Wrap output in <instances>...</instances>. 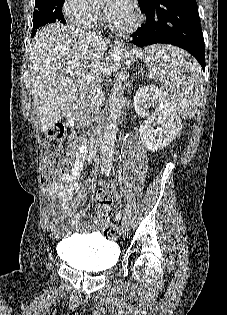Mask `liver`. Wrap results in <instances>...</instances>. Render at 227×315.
<instances>
[{
  "label": "liver",
  "mask_w": 227,
  "mask_h": 315,
  "mask_svg": "<svg viewBox=\"0 0 227 315\" xmlns=\"http://www.w3.org/2000/svg\"><path fill=\"white\" fill-rule=\"evenodd\" d=\"M120 60L119 51L109 50L100 36L60 23L39 29L30 52V81L41 131L46 132L74 107L90 77L116 70Z\"/></svg>",
  "instance_id": "6515ba94"
}]
</instances>
